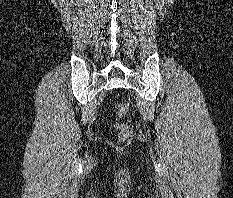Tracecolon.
<instances>
[{
  "label": "colon",
  "mask_w": 233,
  "mask_h": 198,
  "mask_svg": "<svg viewBox=\"0 0 233 198\" xmlns=\"http://www.w3.org/2000/svg\"><path fill=\"white\" fill-rule=\"evenodd\" d=\"M127 112L128 105L124 102L119 103L115 109L116 122L114 124V127L118 133V138L120 141L127 140L132 134L131 127L120 122V119H122L127 114Z\"/></svg>",
  "instance_id": "5ec220e1"
}]
</instances>
